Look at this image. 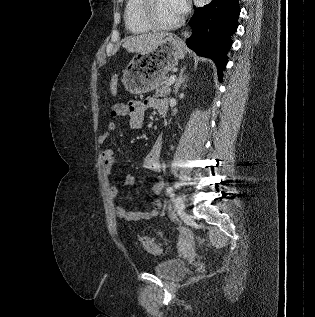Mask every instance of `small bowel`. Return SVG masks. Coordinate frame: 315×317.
Masks as SVG:
<instances>
[{
  "label": "small bowel",
  "mask_w": 315,
  "mask_h": 317,
  "mask_svg": "<svg viewBox=\"0 0 315 317\" xmlns=\"http://www.w3.org/2000/svg\"><path fill=\"white\" fill-rule=\"evenodd\" d=\"M148 109H154L158 112L160 116H164L167 111V101L165 99H159L154 97H148L142 101L133 100L128 103L115 104L110 108V115L113 119L127 116L129 120V125L132 128H141L144 123L145 112ZM117 130V123L115 121L109 122L107 125V130L100 136V141L105 145L102 152V159L104 164V169L107 175H112L113 167L115 163L114 151L110 144L107 142L109 136ZM162 150V138L158 137L144 160V167L154 173H160L162 170V164L160 162V154ZM135 183V177L132 175H126L121 181L122 186H132ZM163 183L157 181L153 184L151 190L154 195H159L162 191ZM110 197L115 199L118 194V188L112 186L109 190ZM162 207V202L159 199H155L152 202V208L148 211L134 212L127 210L122 205L115 206L116 215L130 222H142L150 220L156 217L159 210Z\"/></svg>",
  "instance_id": "1"
}]
</instances>
